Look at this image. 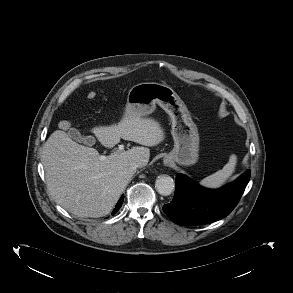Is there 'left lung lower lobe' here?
<instances>
[{"mask_svg":"<svg viewBox=\"0 0 293 293\" xmlns=\"http://www.w3.org/2000/svg\"><path fill=\"white\" fill-rule=\"evenodd\" d=\"M249 179L250 170H247L235 182L210 190L178 174L174 198L163 206V211L179 225H203L220 220L237 205Z\"/></svg>","mask_w":293,"mask_h":293,"instance_id":"obj_1","label":"left lung lower lobe"}]
</instances>
